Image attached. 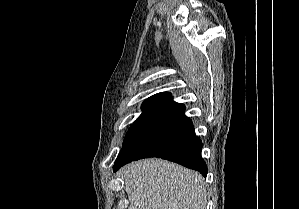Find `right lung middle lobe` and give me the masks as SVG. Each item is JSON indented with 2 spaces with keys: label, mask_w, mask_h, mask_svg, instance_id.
<instances>
[{
  "label": "right lung middle lobe",
  "mask_w": 299,
  "mask_h": 209,
  "mask_svg": "<svg viewBox=\"0 0 299 209\" xmlns=\"http://www.w3.org/2000/svg\"><path fill=\"white\" fill-rule=\"evenodd\" d=\"M157 107H158V105H152V104H143L142 105V114L137 118V120L129 128V130L125 136L124 142H123V147L140 130V128L150 118V116L156 110Z\"/></svg>",
  "instance_id": "1"
}]
</instances>
